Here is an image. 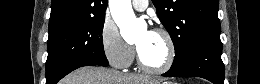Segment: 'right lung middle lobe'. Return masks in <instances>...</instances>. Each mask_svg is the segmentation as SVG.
I'll use <instances>...</instances> for the list:
<instances>
[{
	"mask_svg": "<svg viewBox=\"0 0 260 84\" xmlns=\"http://www.w3.org/2000/svg\"><path fill=\"white\" fill-rule=\"evenodd\" d=\"M105 15L49 29L46 83L56 84L69 69L83 63L108 66L102 30Z\"/></svg>",
	"mask_w": 260,
	"mask_h": 84,
	"instance_id": "right-lung-middle-lobe-1",
	"label": "right lung middle lobe"
}]
</instances>
